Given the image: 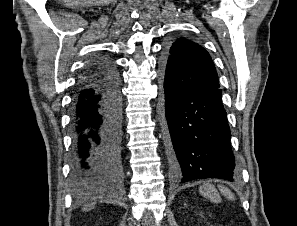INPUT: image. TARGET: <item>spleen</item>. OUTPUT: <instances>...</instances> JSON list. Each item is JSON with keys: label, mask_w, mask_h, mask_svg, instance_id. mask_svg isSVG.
Listing matches in <instances>:
<instances>
[{"label": "spleen", "mask_w": 297, "mask_h": 226, "mask_svg": "<svg viewBox=\"0 0 297 226\" xmlns=\"http://www.w3.org/2000/svg\"><path fill=\"white\" fill-rule=\"evenodd\" d=\"M220 192L229 200H234L235 196L228 188L224 186H218ZM199 192L206 198L210 199V201L214 203L221 202V196L216 189V187L212 184H204L199 188Z\"/></svg>", "instance_id": "obj_1"}]
</instances>
